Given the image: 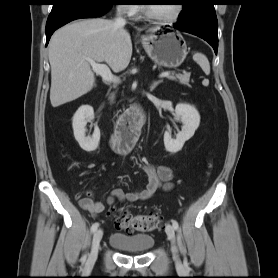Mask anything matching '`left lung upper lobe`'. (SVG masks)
<instances>
[{
  "mask_svg": "<svg viewBox=\"0 0 278 278\" xmlns=\"http://www.w3.org/2000/svg\"><path fill=\"white\" fill-rule=\"evenodd\" d=\"M183 5V10L179 15V18H187L193 13L205 10L213 16H216L214 3L215 0H181Z\"/></svg>",
  "mask_w": 278,
  "mask_h": 278,
  "instance_id": "1",
  "label": "left lung upper lobe"
}]
</instances>
